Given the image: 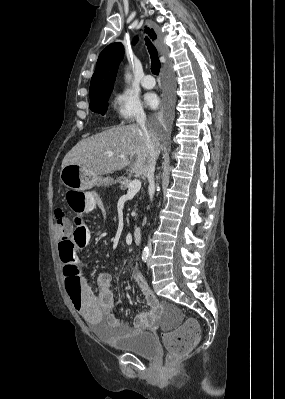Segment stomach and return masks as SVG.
I'll return each instance as SVG.
<instances>
[{"label":"stomach","instance_id":"1","mask_svg":"<svg viewBox=\"0 0 285 399\" xmlns=\"http://www.w3.org/2000/svg\"><path fill=\"white\" fill-rule=\"evenodd\" d=\"M61 182L69 189L85 191L95 185H110L113 180L109 177L101 178L84 170L78 165H67L60 172Z\"/></svg>","mask_w":285,"mask_h":399}]
</instances>
